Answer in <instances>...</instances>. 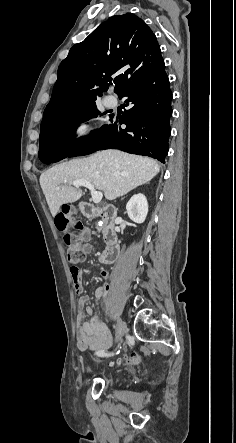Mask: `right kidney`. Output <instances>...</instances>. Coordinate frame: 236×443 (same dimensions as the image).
<instances>
[{"label":"right kidney","instance_id":"obj_1","mask_svg":"<svg viewBox=\"0 0 236 443\" xmlns=\"http://www.w3.org/2000/svg\"><path fill=\"white\" fill-rule=\"evenodd\" d=\"M126 210L129 218L136 223H143L148 213L147 199L143 194H136L128 201Z\"/></svg>","mask_w":236,"mask_h":443}]
</instances>
